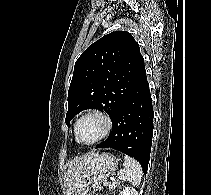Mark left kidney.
Returning <instances> with one entry per match:
<instances>
[{"label": "left kidney", "instance_id": "1", "mask_svg": "<svg viewBox=\"0 0 211 195\" xmlns=\"http://www.w3.org/2000/svg\"><path fill=\"white\" fill-rule=\"evenodd\" d=\"M119 195H139L138 192L132 187H125Z\"/></svg>", "mask_w": 211, "mask_h": 195}]
</instances>
